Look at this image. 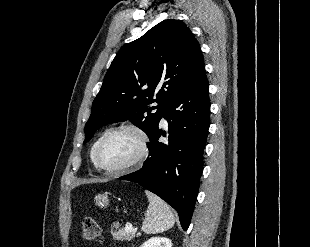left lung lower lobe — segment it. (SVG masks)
<instances>
[{
  "label": "left lung lower lobe",
  "instance_id": "0a47b994",
  "mask_svg": "<svg viewBox=\"0 0 310 247\" xmlns=\"http://www.w3.org/2000/svg\"><path fill=\"white\" fill-rule=\"evenodd\" d=\"M208 87L203 66L163 113L168 121V140L159 142L162 130L157 128L149 138L150 153L142 169L120 177L137 182L171 205L185 231L190 225L203 171V151L210 126Z\"/></svg>",
  "mask_w": 310,
  "mask_h": 247
}]
</instances>
